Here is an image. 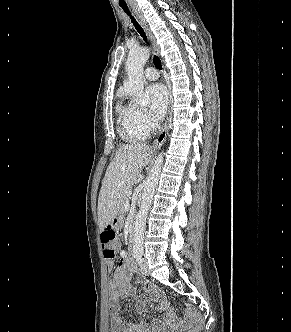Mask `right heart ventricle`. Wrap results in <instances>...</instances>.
<instances>
[{
    "mask_svg": "<svg viewBox=\"0 0 291 332\" xmlns=\"http://www.w3.org/2000/svg\"><path fill=\"white\" fill-rule=\"evenodd\" d=\"M116 113L119 120V134L123 140L135 142L146 138L148 132L141 130L135 123V106L119 101Z\"/></svg>",
    "mask_w": 291,
    "mask_h": 332,
    "instance_id": "1",
    "label": "right heart ventricle"
}]
</instances>
